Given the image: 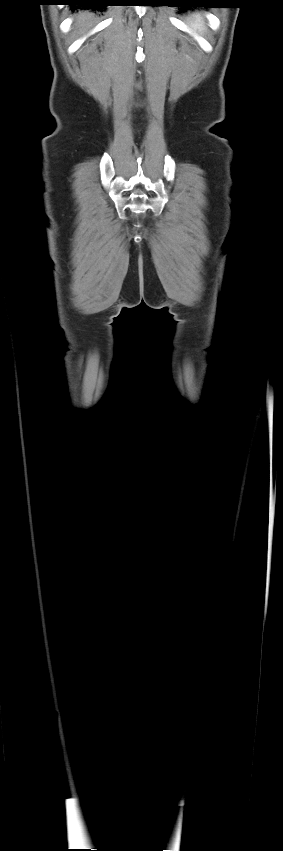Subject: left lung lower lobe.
Instances as JSON below:
<instances>
[{
	"label": "left lung lower lobe",
	"instance_id": "0a47b994",
	"mask_svg": "<svg viewBox=\"0 0 283 851\" xmlns=\"http://www.w3.org/2000/svg\"><path fill=\"white\" fill-rule=\"evenodd\" d=\"M211 2L212 1H210V0H194V1H186L184 4H207V3H211ZM182 7H184V6H182Z\"/></svg>",
	"mask_w": 283,
	"mask_h": 851
}]
</instances>
